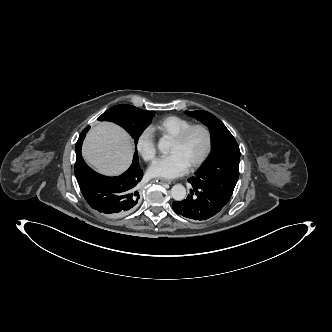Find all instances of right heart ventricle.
Returning a JSON list of instances; mask_svg holds the SVG:
<instances>
[{
    "mask_svg": "<svg viewBox=\"0 0 332 332\" xmlns=\"http://www.w3.org/2000/svg\"><path fill=\"white\" fill-rule=\"evenodd\" d=\"M192 121L177 115H170L157 121L150 129L161 136L174 138L186 127L190 126Z\"/></svg>",
    "mask_w": 332,
    "mask_h": 332,
    "instance_id": "right-heart-ventricle-1",
    "label": "right heart ventricle"
}]
</instances>
